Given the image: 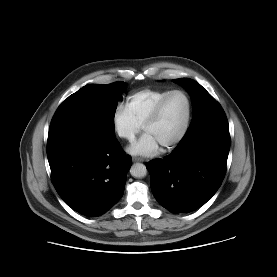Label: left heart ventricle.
Returning a JSON list of instances; mask_svg holds the SVG:
<instances>
[{"mask_svg": "<svg viewBox=\"0 0 277 277\" xmlns=\"http://www.w3.org/2000/svg\"><path fill=\"white\" fill-rule=\"evenodd\" d=\"M187 116V101L181 94H175L166 102L160 118L150 125V133L163 146L175 139L182 131Z\"/></svg>", "mask_w": 277, "mask_h": 277, "instance_id": "1", "label": "left heart ventricle"}]
</instances>
